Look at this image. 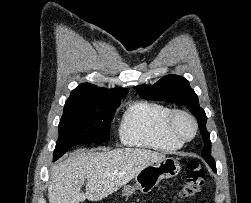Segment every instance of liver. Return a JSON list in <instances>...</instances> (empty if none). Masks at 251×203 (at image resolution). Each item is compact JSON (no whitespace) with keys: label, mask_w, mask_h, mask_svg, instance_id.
Instances as JSON below:
<instances>
[{"label":"liver","mask_w":251,"mask_h":203,"mask_svg":"<svg viewBox=\"0 0 251 203\" xmlns=\"http://www.w3.org/2000/svg\"><path fill=\"white\" fill-rule=\"evenodd\" d=\"M165 158V154L141 148L105 152L77 150L54 165L48 184L49 203L99 201L132 180L143 168ZM86 182L85 193L81 187Z\"/></svg>","instance_id":"liver-1"}]
</instances>
